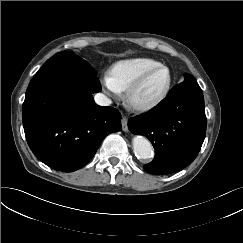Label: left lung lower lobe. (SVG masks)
<instances>
[{
	"label": "left lung lower lobe",
	"instance_id": "left-lung-lower-lobe-1",
	"mask_svg": "<svg viewBox=\"0 0 243 243\" xmlns=\"http://www.w3.org/2000/svg\"><path fill=\"white\" fill-rule=\"evenodd\" d=\"M128 128L146 136L155 148L154 160L144 165L150 174L177 172L196 158L206 134L204 98L196 80L184 81L150 111L132 117Z\"/></svg>",
	"mask_w": 243,
	"mask_h": 243
}]
</instances>
